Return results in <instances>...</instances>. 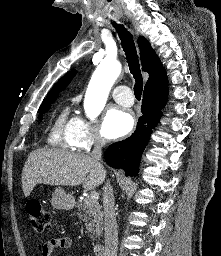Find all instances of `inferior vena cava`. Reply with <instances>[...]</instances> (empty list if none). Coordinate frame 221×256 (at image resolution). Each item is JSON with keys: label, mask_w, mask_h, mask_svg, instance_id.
Listing matches in <instances>:
<instances>
[{"label": "inferior vena cava", "mask_w": 221, "mask_h": 256, "mask_svg": "<svg viewBox=\"0 0 221 256\" xmlns=\"http://www.w3.org/2000/svg\"><path fill=\"white\" fill-rule=\"evenodd\" d=\"M106 141L104 138L97 136L95 138L94 149L91 153V157L95 160L96 165L103 171L104 176H106V171L100 163L102 155V147L105 145ZM114 195L113 189L110 182L107 181L103 187V207H104V224H105V253L104 256H117L118 249V233H117V223L115 217L114 208Z\"/></svg>", "instance_id": "inferior-vena-cava-1"}]
</instances>
